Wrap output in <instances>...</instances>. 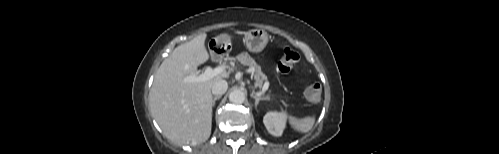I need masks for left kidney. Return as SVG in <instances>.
Segmentation results:
<instances>
[{
  "mask_svg": "<svg viewBox=\"0 0 499 154\" xmlns=\"http://www.w3.org/2000/svg\"><path fill=\"white\" fill-rule=\"evenodd\" d=\"M268 132L273 136H281L285 128L286 115L283 112H268L263 118Z\"/></svg>",
  "mask_w": 499,
  "mask_h": 154,
  "instance_id": "obj_1",
  "label": "left kidney"
}]
</instances>
